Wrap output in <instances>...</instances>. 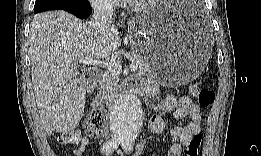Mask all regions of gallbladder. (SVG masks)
<instances>
[{"label":"gallbladder","instance_id":"gallbladder-1","mask_svg":"<svg viewBox=\"0 0 261 156\" xmlns=\"http://www.w3.org/2000/svg\"><path fill=\"white\" fill-rule=\"evenodd\" d=\"M71 83L65 86L66 90H61L58 94L57 103L53 104L50 114L51 127L56 128L57 132H66L74 129L83 118L84 103L86 102L85 91L76 83H82V80H70Z\"/></svg>","mask_w":261,"mask_h":156}]
</instances>
